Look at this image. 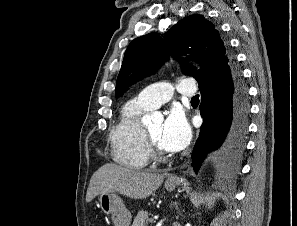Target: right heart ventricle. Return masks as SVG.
Segmentation results:
<instances>
[{
	"label": "right heart ventricle",
	"mask_w": 297,
	"mask_h": 226,
	"mask_svg": "<svg viewBox=\"0 0 297 226\" xmlns=\"http://www.w3.org/2000/svg\"><path fill=\"white\" fill-rule=\"evenodd\" d=\"M148 110L150 108L137 98L129 100L123 106L110 133L111 155L118 164L134 169L147 165L149 150L140 118Z\"/></svg>",
	"instance_id": "e07e8e85"
}]
</instances>
